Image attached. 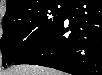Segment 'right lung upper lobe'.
Masks as SVG:
<instances>
[{
    "mask_svg": "<svg viewBox=\"0 0 102 75\" xmlns=\"http://www.w3.org/2000/svg\"><path fill=\"white\" fill-rule=\"evenodd\" d=\"M55 0H7V13L17 12L23 9H30L39 6L43 3L52 2Z\"/></svg>",
    "mask_w": 102,
    "mask_h": 75,
    "instance_id": "1",
    "label": "right lung upper lobe"
}]
</instances>
